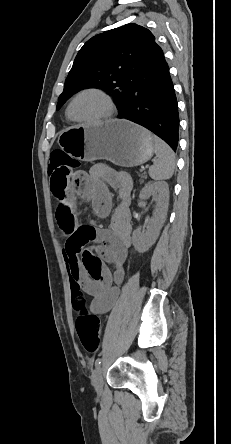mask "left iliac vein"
Here are the masks:
<instances>
[{"label": "left iliac vein", "mask_w": 231, "mask_h": 444, "mask_svg": "<svg viewBox=\"0 0 231 444\" xmlns=\"http://www.w3.org/2000/svg\"><path fill=\"white\" fill-rule=\"evenodd\" d=\"M92 385L97 393L102 392L103 388V371L101 366L97 367L92 376Z\"/></svg>", "instance_id": "obj_1"}]
</instances>
